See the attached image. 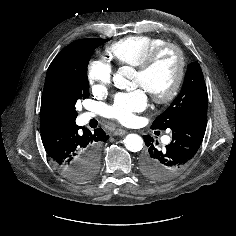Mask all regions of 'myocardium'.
<instances>
[{
	"label": "myocardium",
	"instance_id": "f54148a6",
	"mask_svg": "<svg viewBox=\"0 0 236 236\" xmlns=\"http://www.w3.org/2000/svg\"><path fill=\"white\" fill-rule=\"evenodd\" d=\"M169 50L176 53L178 58V68L172 86L167 92L163 94H155L150 92L153 101L157 104H167L171 102L177 96L182 86L186 73V58L183 50L174 43L163 44L151 51L144 61L137 66V71L142 75H146L154 68L161 55Z\"/></svg>",
	"mask_w": 236,
	"mask_h": 236
}]
</instances>
